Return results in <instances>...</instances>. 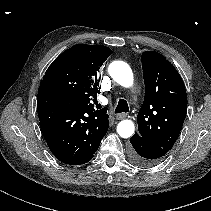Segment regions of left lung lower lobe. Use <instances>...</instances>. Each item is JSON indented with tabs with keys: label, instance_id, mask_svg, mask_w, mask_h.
Wrapping results in <instances>:
<instances>
[{
	"label": "left lung lower lobe",
	"instance_id": "0a47b994",
	"mask_svg": "<svg viewBox=\"0 0 211 211\" xmlns=\"http://www.w3.org/2000/svg\"><path fill=\"white\" fill-rule=\"evenodd\" d=\"M129 155L133 164L140 167L157 165L167 154L164 148L139 136L137 133L130 138Z\"/></svg>",
	"mask_w": 211,
	"mask_h": 211
}]
</instances>
